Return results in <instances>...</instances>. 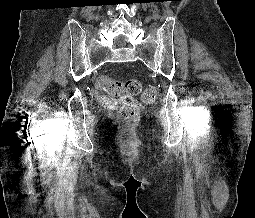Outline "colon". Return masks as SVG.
Here are the masks:
<instances>
[{
	"label": "colon",
	"instance_id": "obj_1",
	"mask_svg": "<svg viewBox=\"0 0 255 218\" xmlns=\"http://www.w3.org/2000/svg\"><path fill=\"white\" fill-rule=\"evenodd\" d=\"M98 85L102 90L117 98L120 117L125 123L132 121L141 111V105L134 96L142 92V99L146 103H151L157 98L156 88L148 85L143 89L139 79L120 81L103 77L99 80Z\"/></svg>",
	"mask_w": 255,
	"mask_h": 218
}]
</instances>
